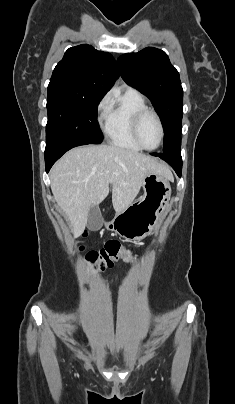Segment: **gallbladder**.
<instances>
[{"instance_id":"gallbladder-1","label":"gallbladder","mask_w":235,"mask_h":404,"mask_svg":"<svg viewBox=\"0 0 235 404\" xmlns=\"http://www.w3.org/2000/svg\"><path fill=\"white\" fill-rule=\"evenodd\" d=\"M103 225V218L99 208L92 205L88 212L87 228L91 231L99 230Z\"/></svg>"}]
</instances>
